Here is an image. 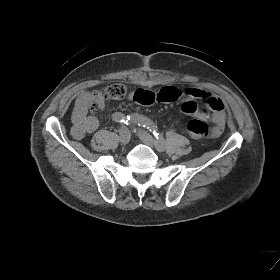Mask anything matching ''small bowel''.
<instances>
[{
	"label": "small bowel",
	"instance_id": "1",
	"mask_svg": "<svg viewBox=\"0 0 280 280\" xmlns=\"http://www.w3.org/2000/svg\"><path fill=\"white\" fill-rule=\"evenodd\" d=\"M182 97H185V101L181 109L185 114L204 121L211 120L217 129L223 130L226 121L225 105L220 98L203 89L191 88L183 91L175 86H166L157 92L137 89L129 95L131 100L142 105L174 102ZM90 100V92L81 93L76 100L72 116V135L75 139H82L98 128L97 118L88 114ZM98 107L104 108L102 100L98 102Z\"/></svg>",
	"mask_w": 280,
	"mask_h": 280
}]
</instances>
